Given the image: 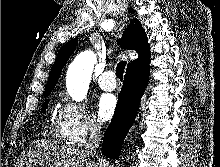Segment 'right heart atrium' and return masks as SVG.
I'll return each instance as SVG.
<instances>
[{"label": "right heart atrium", "instance_id": "obj_1", "mask_svg": "<svg viewBox=\"0 0 220 167\" xmlns=\"http://www.w3.org/2000/svg\"><path fill=\"white\" fill-rule=\"evenodd\" d=\"M59 130L73 144H82L100 131V124L89 109L81 103L63 99L58 111Z\"/></svg>", "mask_w": 220, "mask_h": 167}]
</instances>
